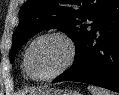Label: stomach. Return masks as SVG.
Instances as JSON below:
<instances>
[{
	"instance_id": "0dacf381",
	"label": "stomach",
	"mask_w": 119,
	"mask_h": 95,
	"mask_svg": "<svg viewBox=\"0 0 119 95\" xmlns=\"http://www.w3.org/2000/svg\"><path fill=\"white\" fill-rule=\"evenodd\" d=\"M33 95H80V93L72 90L47 89L40 93H34Z\"/></svg>"
}]
</instances>
